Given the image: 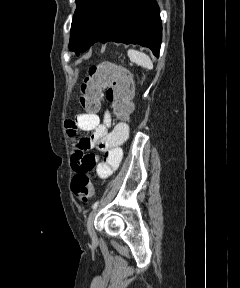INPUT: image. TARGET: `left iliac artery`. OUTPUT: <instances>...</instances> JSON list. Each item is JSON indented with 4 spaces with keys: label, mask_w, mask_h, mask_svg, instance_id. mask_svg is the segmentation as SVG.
Returning <instances> with one entry per match:
<instances>
[{
    "label": "left iliac artery",
    "mask_w": 240,
    "mask_h": 288,
    "mask_svg": "<svg viewBox=\"0 0 240 288\" xmlns=\"http://www.w3.org/2000/svg\"><path fill=\"white\" fill-rule=\"evenodd\" d=\"M98 204H99V201H96V202L93 204L92 208H93V209H96L97 206H98Z\"/></svg>",
    "instance_id": "obj_1"
}]
</instances>
